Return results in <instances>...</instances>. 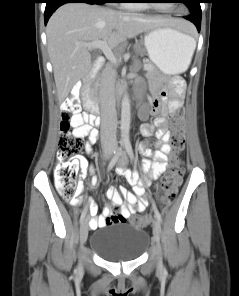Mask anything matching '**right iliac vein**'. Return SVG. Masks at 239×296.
<instances>
[{"label":"right iliac vein","instance_id":"63e3f726","mask_svg":"<svg viewBox=\"0 0 239 296\" xmlns=\"http://www.w3.org/2000/svg\"><path fill=\"white\" fill-rule=\"evenodd\" d=\"M89 226L87 220H85L80 227V242L83 246L86 243L88 237Z\"/></svg>","mask_w":239,"mask_h":296}]
</instances>
